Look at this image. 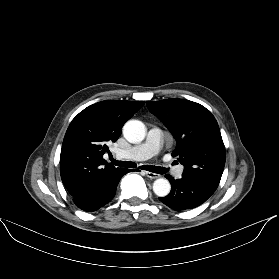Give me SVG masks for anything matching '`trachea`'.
I'll list each match as a JSON object with an SVG mask.
<instances>
[{
  "label": "trachea",
  "instance_id": "3493384b",
  "mask_svg": "<svg viewBox=\"0 0 279 279\" xmlns=\"http://www.w3.org/2000/svg\"><path fill=\"white\" fill-rule=\"evenodd\" d=\"M111 163L113 165L119 166V167H126V168H135L137 165L134 162H126V161H117L114 158H111ZM141 169L150 171L157 174H164L168 171V169L163 167H156V166H149V165H143L141 166Z\"/></svg>",
  "mask_w": 279,
  "mask_h": 279
}]
</instances>
